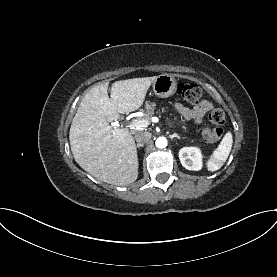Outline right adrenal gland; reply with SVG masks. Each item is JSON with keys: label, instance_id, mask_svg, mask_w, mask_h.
<instances>
[{"label": "right adrenal gland", "instance_id": "right-adrenal-gland-1", "mask_svg": "<svg viewBox=\"0 0 277 277\" xmlns=\"http://www.w3.org/2000/svg\"><path fill=\"white\" fill-rule=\"evenodd\" d=\"M144 145L143 144H137V148H140V147H143Z\"/></svg>", "mask_w": 277, "mask_h": 277}]
</instances>
